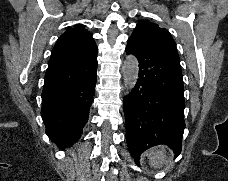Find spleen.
<instances>
[{
  "label": "spleen",
  "mask_w": 228,
  "mask_h": 181,
  "mask_svg": "<svg viewBox=\"0 0 228 181\" xmlns=\"http://www.w3.org/2000/svg\"><path fill=\"white\" fill-rule=\"evenodd\" d=\"M150 167L153 169H161L167 163L166 151L163 147H155L147 151Z\"/></svg>",
  "instance_id": "1"
}]
</instances>
